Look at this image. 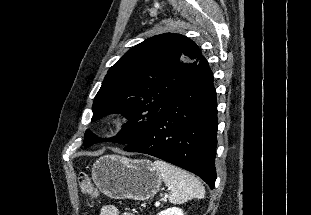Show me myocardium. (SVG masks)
Returning <instances> with one entry per match:
<instances>
[{
    "label": "myocardium",
    "instance_id": "obj_1",
    "mask_svg": "<svg viewBox=\"0 0 311 215\" xmlns=\"http://www.w3.org/2000/svg\"><path fill=\"white\" fill-rule=\"evenodd\" d=\"M127 123V118L121 114H112L107 119V126L113 130H121Z\"/></svg>",
    "mask_w": 311,
    "mask_h": 215
}]
</instances>
